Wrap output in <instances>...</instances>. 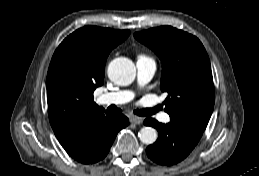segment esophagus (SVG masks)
Masks as SVG:
<instances>
[{
    "mask_svg": "<svg viewBox=\"0 0 259 176\" xmlns=\"http://www.w3.org/2000/svg\"><path fill=\"white\" fill-rule=\"evenodd\" d=\"M142 121H143V120H142V118H140V117L132 116V117L130 118V122H131L132 124H135V125L141 124Z\"/></svg>",
    "mask_w": 259,
    "mask_h": 176,
    "instance_id": "esophagus-1",
    "label": "esophagus"
}]
</instances>
